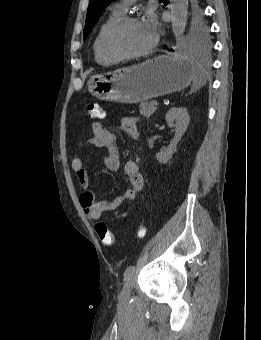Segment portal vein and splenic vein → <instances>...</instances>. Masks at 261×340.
<instances>
[{
    "mask_svg": "<svg viewBox=\"0 0 261 340\" xmlns=\"http://www.w3.org/2000/svg\"><path fill=\"white\" fill-rule=\"evenodd\" d=\"M159 105V102L158 101H155L154 102V106H158Z\"/></svg>",
    "mask_w": 261,
    "mask_h": 340,
    "instance_id": "portal-vein-and-splenic-vein-1",
    "label": "portal vein and splenic vein"
}]
</instances>
